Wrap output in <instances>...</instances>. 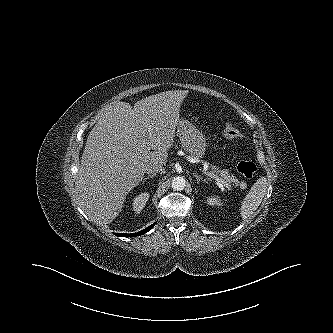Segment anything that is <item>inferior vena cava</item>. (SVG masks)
I'll list each match as a JSON object with an SVG mask.
<instances>
[{
	"instance_id": "1",
	"label": "inferior vena cava",
	"mask_w": 333,
	"mask_h": 333,
	"mask_svg": "<svg viewBox=\"0 0 333 333\" xmlns=\"http://www.w3.org/2000/svg\"><path fill=\"white\" fill-rule=\"evenodd\" d=\"M146 171L148 174H152V175H156L157 173H160V174L165 173V169L161 166H151V167H148Z\"/></svg>"
}]
</instances>
